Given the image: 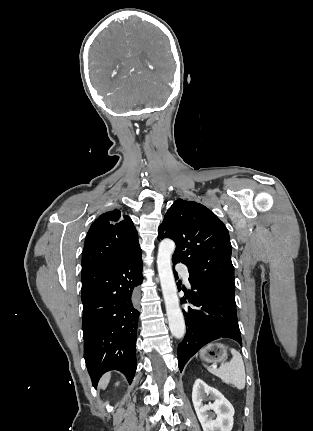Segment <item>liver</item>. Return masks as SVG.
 Instances as JSON below:
<instances>
[{
  "label": "liver",
  "mask_w": 313,
  "mask_h": 431,
  "mask_svg": "<svg viewBox=\"0 0 313 431\" xmlns=\"http://www.w3.org/2000/svg\"><path fill=\"white\" fill-rule=\"evenodd\" d=\"M110 378H111L110 373L105 374L99 382L100 388L105 389L110 381Z\"/></svg>",
  "instance_id": "6515ba94"
}]
</instances>
